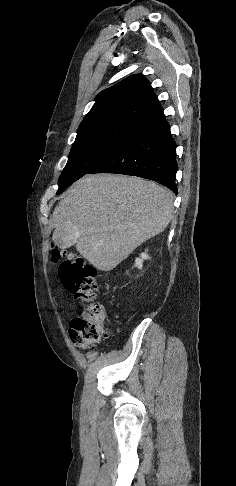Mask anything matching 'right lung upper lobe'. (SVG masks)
Listing matches in <instances>:
<instances>
[{"label":"right lung upper lobe","instance_id":"1","mask_svg":"<svg viewBox=\"0 0 236 486\" xmlns=\"http://www.w3.org/2000/svg\"><path fill=\"white\" fill-rule=\"evenodd\" d=\"M160 111L162 107L149 81L142 74L131 75L96 96L77 134L115 124H140Z\"/></svg>","mask_w":236,"mask_h":486}]
</instances>
